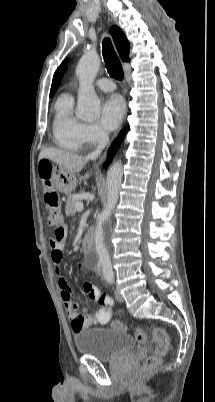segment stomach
Returning <instances> with one entry per match:
<instances>
[{"instance_id":"1","label":"stomach","mask_w":215,"mask_h":402,"mask_svg":"<svg viewBox=\"0 0 215 402\" xmlns=\"http://www.w3.org/2000/svg\"><path fill=\"white\" fill-rule=\"evenodd\" d=\"M50 180L59 192L66 195H69L75 189L77 184L74 173L69 172L59 165H53Z\"/></svg>"}]
</instances>
